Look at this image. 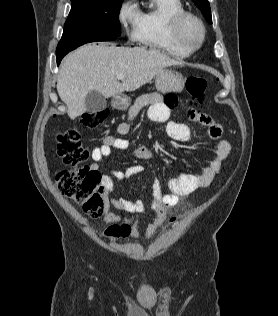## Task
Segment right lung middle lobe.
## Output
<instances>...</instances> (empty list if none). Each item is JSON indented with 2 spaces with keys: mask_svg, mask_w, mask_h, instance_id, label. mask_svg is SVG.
<instances>
[{
  "mask_svg": "<svg viewBox=\"0 0 278 316\" xmlns=\"http://www.w3.org/2000/svg\"><path fill=\"white\" fill-rule=\"evenodd\" d=\"M123 0H71L56 55L64 56L88 42L115 40L121 34L119 13Z\"/></svg>",
  "mask_w": 278,
  "mask_h": 316,
  "instance_id": "1",
  "label": "right lung middle lobe"
}]
</instances>
